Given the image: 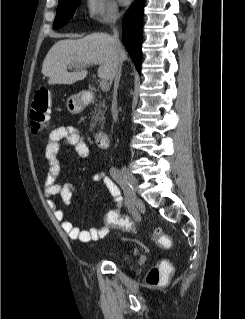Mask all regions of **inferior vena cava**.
Segmentation results:
<instances>
[{
    "mask_svg": "<svg viewBox=\"0 0 245 319\" xmlns=\"http://www.w3.org/2000/svg\"><path fill=\"white\" fill-rule=\"evenodd\" d=\"M117 15L112 16L113 24L117 20ZM113 45L116 49V52L118 55L121 54V43L119 40L118 32L116 28H113ZM121 68H122V59L119 57L116 62L115 72H114V95H113V103H112V116L114 121L116 122L118 120V108H117V90L119 86V81L121 77Z\"/></svg>",
    "mask_w": 245,
    "mask_h": 319,
    "instance_id": "obj_1",
    "label": "inferior vena cava"
}]
</instances>
